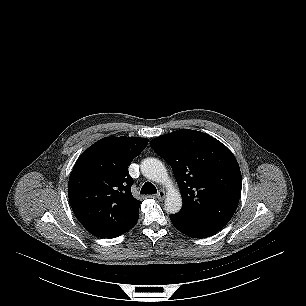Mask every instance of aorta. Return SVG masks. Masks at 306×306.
<instances>
[{"label":"aorta","mask_w":306,"mask_h":306,"mask_svg":"<svg viewBox=\"0 0 306 306\" xmlns=\"http://www.w3.org/2000/svg\"><path fill=\"white\" fill-rule=\"evenodd\" d=\"M141 173L144 177L168 188L165 198V210L175 214L182 207V197L178 189L174 188L164 164L156 158H147L141 162Z\"/></svg>","instance_id":"aorta-1"}]
</instances>
